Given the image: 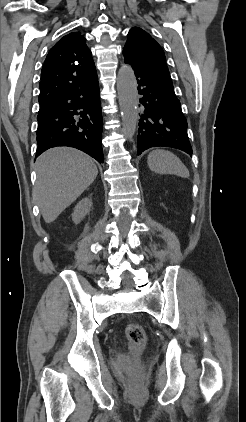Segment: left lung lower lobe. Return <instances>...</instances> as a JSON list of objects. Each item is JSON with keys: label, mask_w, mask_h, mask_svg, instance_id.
<instances>
[{"label": "left lung lower lobe", "mask_w": 246, "mask_h": 422, "mask_svg": "<svg viewBox=\"0 0 246 422\" xmlns=\"http://www.w3.org/2000/svg\"><path fill=\"white\" fill-rule=\"evenodd\" d=\"M137 78L142 95L141 119L137 136L138 155L151 147H172L192 155L187 135V121L174 89L124 58Z\"/></svg>", "instance_id": "0a47b994"}]
</instances>
